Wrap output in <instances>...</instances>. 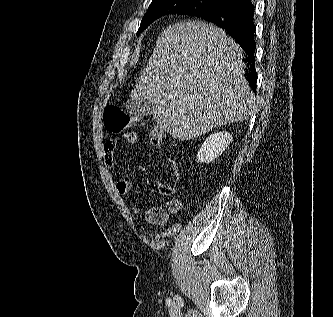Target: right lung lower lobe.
<instances>
[{"label": "right lung lower lobe", "mask_w": 333, "mask_h": 317, "mask_svg": "<svg viewBox=\"0 0 333 317\" xmlns=\"http://www.w3.org/2000/svg\"><path fill=\"white\" fill-rule=\"evenodd\" d=\"M195 16L224 29L243 48L248 56L249 72L247 73V80L252 90L256 92L254 6L251 0L226 3L213 10L195 14Z\"/></svg>", "instance_id": "98d812e1"}]
</instances>
